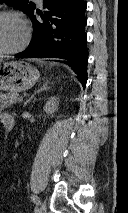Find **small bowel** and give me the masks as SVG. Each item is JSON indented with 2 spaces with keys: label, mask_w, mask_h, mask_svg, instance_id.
<instances>
[{
  "label": "small bowel",
  "mask_w": 128,
  "mask_h": 213,
  "mask_svg": "<svg viewBox=\"0 0 128 213\" xmlns=\"http://www.w3.org/2000/svg\"><path fill=\"white\" fill-rule=\"evenodd\" d=\"M7 115H8V114H6V113H2V112H1V109H0V119H1L2 122H3L4 118H5Z\"/></svg>",
  "instance_id": "obj_1"
}]
</instances>
